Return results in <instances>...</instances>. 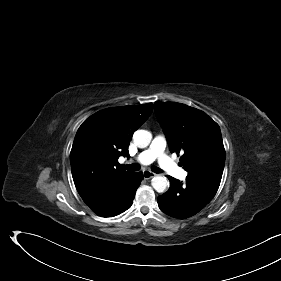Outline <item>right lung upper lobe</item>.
Listing matches in <instances>:
<instances>
[{
	"instance_id": "right-lung-upper-lobe-1",
	"label": "right lung upper lobe",
	"mask_w": 281,
	"mask_h": 281,
	"mask_svg": "<svg viewBox=\"0 0 281 281\" xmlns=\"http://www.w3.org/2000/svg\"><path fill=\"white\" fill-rule=\"evenodd\" d=\"M152 103L101 110L79 127L70 153L75 186L83 201L98 211L115 205L133 172L117 168L129 157L133 133L148 119Z\"/></svg>"
}]
</instances>
